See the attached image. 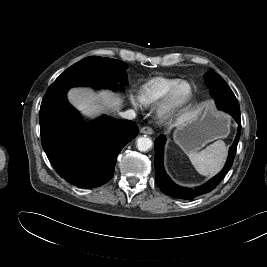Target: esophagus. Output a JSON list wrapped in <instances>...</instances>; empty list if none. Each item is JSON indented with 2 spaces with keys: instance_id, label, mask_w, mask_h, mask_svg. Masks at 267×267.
I'll list each match as a JSON object with an SVG mask.
<instances>
[{
  "instance_id": "esophagus-1",
  "label": "esophagus",
  "mask_w": 267,
  "mask_h": 267,
  "mask_svg": "<svg viewBox=\"0 0 267 267\" xmlns=\"http://www.w3.org/2000/svg\"><path fill=\"white\" fill-rule=\"evenodd\" d=\"M140 132L146 135H151L153 133V129L149 126H144L140 129Z\"/></svg>"
}]
</instances>
